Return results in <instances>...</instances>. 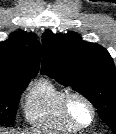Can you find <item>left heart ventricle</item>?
<instances>
[{
    "mask_svg": "<svg viewBox=\"0 0 116 134\" xmlns=\"http://www.w3.org/2000/svg\"><path fill=\"white\" fill-rule=\"evenodd\" d=\"M71 109L74 116L83 123H87L90 120V112L88 108L80 101H73Z\"/></svg>",
    "mask_w": 116,
    "mask_h": 134,
    "instance_id": "obj_1",
    "label": "left heart ventricle"
}]
</instances>
